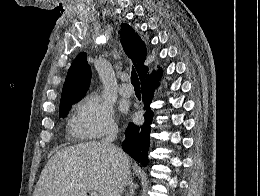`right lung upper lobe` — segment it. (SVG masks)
I'll use <instances>...</instances> for the list:
<instances>
[{"instance_id": "obj_1", "label": "right lung upper lobe", "mask_w": 260, "mask_h": 196, "mask_svg": "<svg viewBox=\"0 0 260 196\" xmlns=\"http://www.w3.org/2000/svg\"><path fill=\"white\" fill-rule=\"evenodd\" d=\"M121 27V44L137 70L141 82L158 76L159 71H153L150 76L147 75L148 68L144 67L147 49L138 34L128 24L123 23ZM90 80V66L87 63L86 53L82 52L74 59L69 68L62 90L59 110L76 100H80L88 90Z\"/></svg>"}]
</instances>
